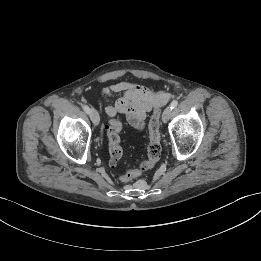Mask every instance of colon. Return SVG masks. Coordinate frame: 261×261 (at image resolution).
<instances>
[{"instance_id": "obj_1", "label": "colon", "mask_w": 261, "mask_h": 261, "mask_svg": "<svg viewBox=\"0 0 261 261\" xmlns=\"http://www.w3.org/2000/svg\"><path fill=\"white\" fill-rule=\"evenodd\" d=\"M107 137L109 142V163L115 166L123 156L120 144V132L122 124L118 119H111L107 125ZM149 144L147 148V159L140 163L139 169L129 170L121 176V181L128 182L139 176L141 171L151 169L161 157V135H160V109L155 108L148 125Z\"/></svg>"}]
</instances>
